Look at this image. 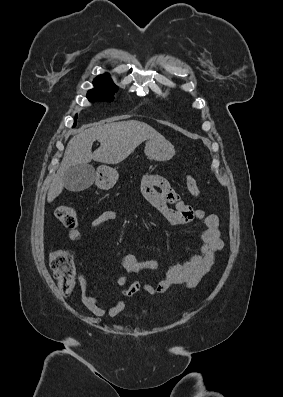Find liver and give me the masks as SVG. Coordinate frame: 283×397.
<instances>
[{
  "instance_id": "obj_1",
  "label": "liver",
  "mask_w": 283,
  "mask_h": 397,
  "mask_svg": "<svg viewBox=\"0 0 283 397\" xmlns=\"http://www.w3.org/2000/svg\"><path fill=\"white\" fill-rule=\"evenodd\" d=\"M147 139H163V136L150 125L137 120L112 122L79 131L67 144L61 165L50 185L47 201L51 203L62 193L63 176L69 167L88 164L92 160L118 164ZM95 140L100 142V147L92 152Z\"/></svg>"
}]
</instances>
